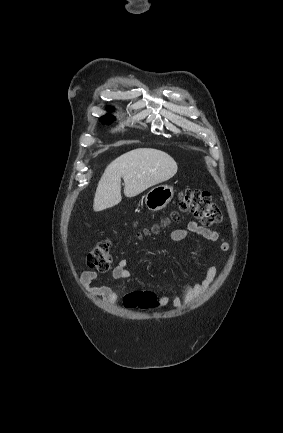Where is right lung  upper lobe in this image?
Wrapping results in <instances>:
<instances>
[{
    "label": "right lung upper lobe",
    "mask_w": 283,
    "mask_h": 433,
    "mask_svg": "<svg viewBox=\"0 0 283 433\" xmlns=\"http://www.w3.org/2000/svg\"><path fill=\"white\" fill-rule=\"evenodd\" d=\"M108 110H113V108H112V107H109Z\"/></svg>",
    "instance_id": "obj_1"
}]
</instances>
